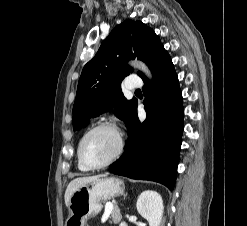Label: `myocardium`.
I'll return each instance as SVG.
<instances>
[{"label":"myocardium","mask_w":247,"mask_h":226,"mask_svg":"<svg viewBox=\"0 0 247 226\" xmlns=\"http://www.w3.org/2000/svg\"><path fill=\"white\" fill-rule=\"evenodd\" d=\"M100 129H109L111 131H113L118 139V146L117 149L115 151V153L104 163L99 164V165H90L88 164L83 156V144L85 139L93 132L100 130ZM124 147H125V141H124V137L123 134L120 130V128L111 121H103L100 122L96 125H94L93 127H91L89 130H87L84 135L82 136V138L79 141V145H78V159L81 162V164L88 170H98V169H103L105 167H108L109 165L113 164L115 161H117L121 155L124 152Z\"/></svg>","instance_id":"1"}]
</instances>
